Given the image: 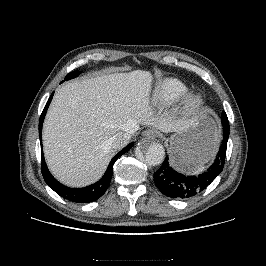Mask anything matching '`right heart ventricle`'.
Wrapping results in <instances>:
<instances>
[{
	"mask_svg": "<svg viewBox=\"0 0 266 266\" xmlns=\"http://www.w3.org/2000/svg\"><path fill=\"white\" fill-rule=\"evenodd\" d=\"M187 90V85L177 78L159 79L153 91V104L156 106L169 104L180 98Z\"/></svg>",
	"mask_w": 266,
	"mask_h": 266,
	"instance_id": "1",
	"label": "right heart ventricle"
}]
</instances>
